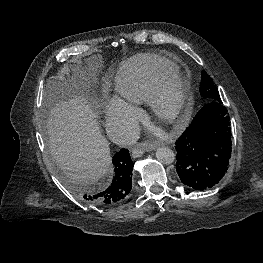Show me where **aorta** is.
Returning a JSON list of instances; mask_svg holds the SVG:
<instances>
[{
	"label": "aorta",
	"instance_id": "1",
	"mask_svg": "<svg viewBox=\"0 0 263 263\" xmlns=\"http://www.w3.org/2000/svg\"><path fill=\"white\" fill-rule=\"evenodd\" d=\"M156 158L162 164L169 165L175 160V153L169 147H159L156 151Z\"/></svg>",
	"mask_w": 263,
	"mask_h": 263
}]
</instances>
